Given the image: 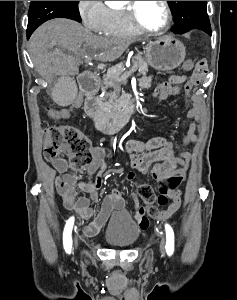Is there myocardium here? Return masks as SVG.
<instances>
[{"label":"myocardium","mask_w":237,"mask_h":300,"mask_svg":"<svg viewBox=\"0 0 237 300\" xmlns=\"http://www.w3.org/2000/svg\"><path fill=\"white\" fill-rule=\"evenodd\" d=\"M164 4L165 12H166V20L165 24L161 29L158 30H152L147 27H145L138 18V1H127V3L124 6V10L128 16L129 21L134 26L135 29H137L139 32H144L152 35H163L165 34L172 23V11L169 1H162Z\"/></svg>","instance_id":"1"}]
</instances>
